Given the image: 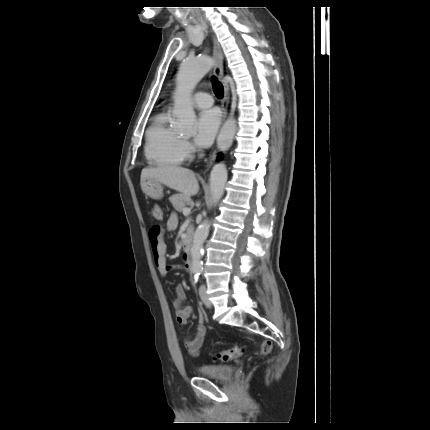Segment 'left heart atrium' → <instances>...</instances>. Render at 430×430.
Wrapping results in <instances>:
<instances>
[{
  "label": "left heart atrium",
  "mask_w": 430,
  "mask_h": 430,
  "mask_svg": "<svg viewBox=\"0 0 430 430\" xmlns=\"http://www.w3.org/2000/svg\"><path fill=\"white\" fill-rule=\"evenodd\" d=\"M219 124L220 114L216 109L201 112L196 121L195 143L200 147L210 146Z\"/></svg>",
  "instance_id": "39dd6f15"
}]
</instances>
